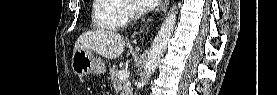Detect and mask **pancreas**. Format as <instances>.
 Wrapping results in <instances>:
<instances>
[{
  "mask_svg": "<svg viewBox=\"0 0 277 95\" xmlns=\"http://www.w3.org/2000/svg\"><path fill=\"white\" fill-rule=\"evenodd\" d=\"M118 69L115 65L109 67L110 80L113 84L114 90L117 95H131L132 88L131 83L128 79L119 80L117 78Z\"/></svg>",
  "mask_w": 277,
  "mask_h": 95,
  "instance_id": "1",
  "label": "pancreas"
}]
</instances>
